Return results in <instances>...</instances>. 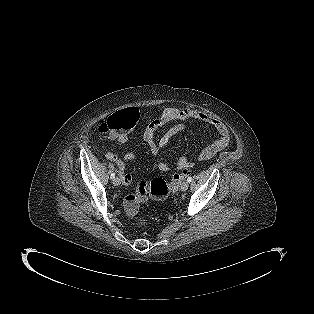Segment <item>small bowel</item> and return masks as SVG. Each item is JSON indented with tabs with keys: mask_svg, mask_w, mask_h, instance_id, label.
<instances>
[{
	"mask_svg": "<svg viewBox=\"0 0 314 314\" xmlns=\"http://www.w3.org/2000/svg\"><path fill=\"white\" fill-rule=\"evenodd\" d=\"M197 121L203 124H207L214 128L218 133V138L203 148L199 154V160L205 161L214 157L218 152L225 149L230 143V131L229 128L217 118L192 108L176 109L166 108L158 117L153 119L146 127L144 131V140L148 144L151 153L155 156L160 155L163 148H165L170 140L182 132L186 128V122ZM171 123H174L158 140H156V132L158 129L165 127ZM119 144L127 142L128 136L119 135L110 137ZM106 158L113 161L122 172V179L125 184L130 183L131 175L124 173L126 167V161H130L134 158L132 151H127L124 155V159H120L117 155L108 151ZM177 168L184 169L191 166V163L185 156H181L176 163ZM158 168L162 172L170 170V166L166 162H159Z\"/></svg>",
	"mask_w": 314,
	"mask_h": 314,
	"instance_id": "1",
	"label": "small bowel"
}]
</instances>
